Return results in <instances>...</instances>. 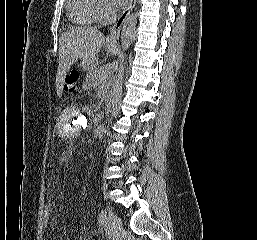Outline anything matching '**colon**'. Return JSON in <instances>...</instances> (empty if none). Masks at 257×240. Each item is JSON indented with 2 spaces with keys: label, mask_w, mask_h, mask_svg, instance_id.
<instances>
[{
  "label": "colon",
  "mask_w": 257,
  "mask_h": 240,
  "mask_svg": "<svg viewBox=\"0 0 257 240\" xmlns=\"http://www.w3.org/2000/svg\"><path fill=\"white\" fill-rule=\"evenodd\" d=\"M79 83V74L77 71L69 72L65 77L66 90L73 92L77 89ZM52 216V209L49 203H46L42 213V224L44 228H47Z\"/></svg>",
  "instance_id": "obj_1"
}]
</instances>
